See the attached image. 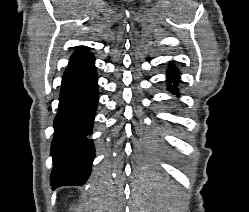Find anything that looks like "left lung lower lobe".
I'll list each match as a JSON object with an SVG mask.
<instances>
[{
    "label": "left lung lower lobe",
    "instance_id": "left-lung-lower-lobe-1",
    "mask_svg": "<svg viewBox=\"0 0 249 212\" xmlns=\"http://www.w3.org/2000/svg\"><path fill=\"white\" fill-rule=\"evenodd\" d=\"M179 82V72L178 69L174 66H171V68L168 71V83H169V90L172 94H178L175 88V85H171V83H177Z\"/></svg>",
    "mask_w": 249,
    "mask_h": 212
}]
</instances>
